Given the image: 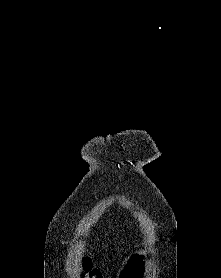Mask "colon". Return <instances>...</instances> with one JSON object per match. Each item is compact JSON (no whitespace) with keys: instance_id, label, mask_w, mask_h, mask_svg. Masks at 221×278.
Instances as JSON below:
<instances>
[{"instance_id":"colon-1","label":"colon","mask_w":221,"mask_h":278,"mask_svg":"<svg viewBox=\"0 0 221 278\" xmlns=\"http://www.w3.org/2000/svg\"><path fill=\"white\" fill-rule=\"evenodd\" d=\"M80 275L81 278H103L101 272L93 266L89 259L81 261Z\"/></svg>"}]
</instances>
